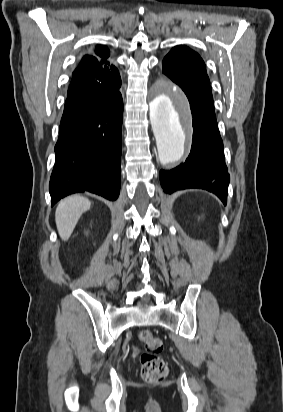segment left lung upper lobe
I'll return each instance as SVG.
<instances>
[{"mask_svg": "<svg viewBox=\"0 0 283 412\" xmlns=\"http://www.w3.org/2000/svg\"><path fill=\"white\" fill-rule=\"evenodd\" d=\"M163 73L172 81L185 78L211 91L210 81L201 57L185 46H176L163 59Z\"/></svg>", "mask_w": 283, "mask_h": 412, "instance_id": "left-lung-upper-lobe-1", "label": "left lung upper lobe"}]
</instances>
